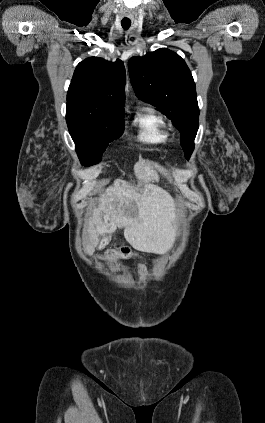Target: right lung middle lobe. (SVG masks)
<instances>
[{
    "instance_id": "dd1d6c3e",
    "label": "right lung middle lobe",
    "mask_w": 265,
    "mask_h": 423,
    "mask_svg": "<svg viewBox=\"0 0 265 423\" xmlns=\"http://www.w3.org/2000/svg\"><path fill=\"white\" fill-rule=\"evenodd\" d=\"M124 115L107 116L83 108H67L69 133L83 165L96 164L109 143L124 131Z\"/></svg>"
}]
</instances>
